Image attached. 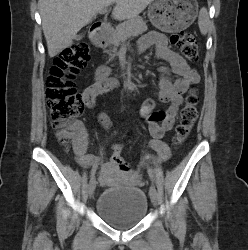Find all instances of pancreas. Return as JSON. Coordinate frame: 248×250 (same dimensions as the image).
Masks as SVG:
<instances>
[{
    "label": "pancreas",
    "mask_w": 248,
    "mask_h": 250,
    "mask_svg": "<svg viewBox=\"0 0 248 250\" xmlns=\"http://www.w3.org/2000/svg\"><path fill=\"white\" fill-rule=\"evenodd\" d=\"M146 21L142 17H135L121 23L110 32V41L114 45L112 52L117 51L120 43L131 36H138L147 31Z\"/></svg>",
    "instance_id": "1"
}]
</instances>
